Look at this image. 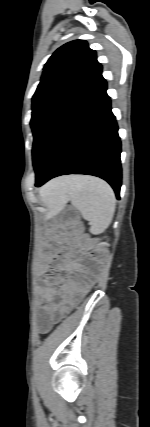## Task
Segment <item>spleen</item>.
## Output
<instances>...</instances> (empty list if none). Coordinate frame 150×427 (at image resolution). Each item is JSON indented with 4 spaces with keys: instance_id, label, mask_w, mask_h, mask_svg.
<instances>
[{
    "instance_id": "3e777b00",
    "label": "spleen",
    "mask_w": 150,
    "mask_h": 427,
    "mask_svg": "<svg viewBox=\"0 0 150 427\" xmlns=\"http://www.w3.org/2000/svg\"><path fill=\"white\" fill-rule=\"evenodd\" d=\"M43 198L53 205L71 201L89 222L92 234H100L108 228L116 208V198L111 186L104 180L91 176H72L51 183Z\"/></svg>"
}]
</instances>
